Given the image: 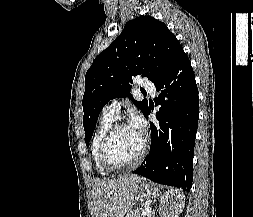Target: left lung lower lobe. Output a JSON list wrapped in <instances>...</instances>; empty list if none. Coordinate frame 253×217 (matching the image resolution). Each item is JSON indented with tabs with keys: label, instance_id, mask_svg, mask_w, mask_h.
<instances>
[{
	"label": "left lung lower lobe",
	"instance_id": "obj_1",
	"mask_svg": "<svg viewBox=\"0 0 253 217\" xmlns=\"http://www.w3.org/2000/svg\"><path fill=\"white\" fill-rule=\"evenodd\" d=\"M161 91L156 105L159 124L150 123L151 146L145 161L133 173L154 182L189 191L193 180V154L199 119V99L190 60L183 52L156 83ZM151 107L144 115L148 119Z\"/></svg>",
	"mask_w": 253,
	"mask_h": 217
}]
</instances>
